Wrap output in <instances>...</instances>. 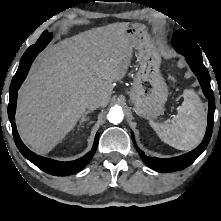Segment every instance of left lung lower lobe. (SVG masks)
Wrapping results in <instances>:
<instances>
[{"mask_svg": "<svg viewBox=\"0 0 221 221\" xmlns=\"http://www.w3.org/2000/svg\"><path fill=\"white\" fill-rule=\"evenodd\" d=\"M185 57L192 71L197 76L204 95L209 100L208 126H207L206 134L202 143L193 151L187 154L178 156V157L168 158V159L148 157L144 154L143 151H141L136 146L137 151L139 152V155L142 157L145 164L149 166L150 168H152L153 170H156L159 172H173V171L182 170L188 167L205 150L212 134L215 103H214L213 91L211 90V86H210V76L208 74L206 67L203 65L202 61L193 59L188 56H185ZM131 134H132V140L135 141L133 132H131Z\"/></svg>", "mask_w": 221, "mask_h": 221, "instance_id": "obj_1", "label": "left lung lower lobe"}]
</instances>
